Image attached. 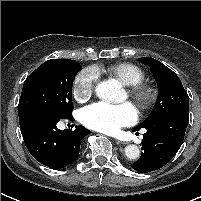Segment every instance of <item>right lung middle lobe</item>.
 Here are the masks:
<instances>
[{
  "label": "right lung middle lobe",
  "instance_id": "right-lung-middle-lobe-1",
  "mask_svg": "<svg viewBox=\"0 0 201 201\" xmlns=\"http://www.w3.org/2000/svg\"><path fill=\"white\" fill-rule=\"evenodd\" d=\"M82 66L70 59H51L25 80L18 105L19 119L35 111H46L60 118L71 116L72 85Z\"/></svg>",
  "mask_w": 201,
  "mask_h": 201
}]
</instances>
